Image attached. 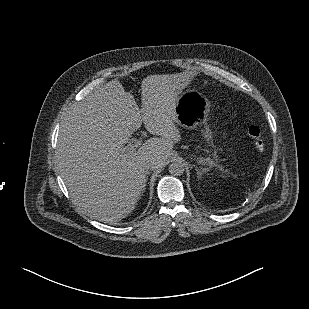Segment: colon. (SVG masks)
<instances>
[{
    "label": "colon",
    "instance_id": "1",
    "mask_svg": "<svg viewBox=\"0 0 309 309\" xmlns=\"http://www.w3.org/2000/svg\"><path fill=\"white\" fill-rule=\"evenodd\" d=\"M248 136L253 140L257 149L262 150L264 148V141L262 139L261 131L257 126H250L248 128Z\"/></svg>",
    "mask_w": 309,
    "mask_h": 309
}]
</instances>
